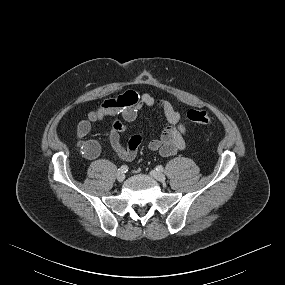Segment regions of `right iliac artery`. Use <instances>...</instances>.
<instances>
[{
  "mask_svg": "<svg viewBox=\"0 0 285 285\" xmlns=\"http://www.w3.org/2000/svg\"><path fill=\"white\" fill-rule=\"evenodd\" d=\"M119 171L122 172V173H126L128 171V167L126 165H122L120 168H119Z\"/></svg>",
  "mask_w": 285,
  "mask_h": 285,
  "instance_id": "1",
  "label": "right iliac artery"
}]
</instances>
